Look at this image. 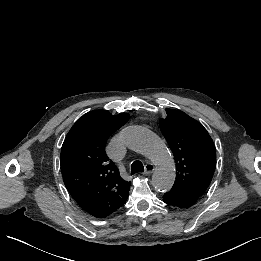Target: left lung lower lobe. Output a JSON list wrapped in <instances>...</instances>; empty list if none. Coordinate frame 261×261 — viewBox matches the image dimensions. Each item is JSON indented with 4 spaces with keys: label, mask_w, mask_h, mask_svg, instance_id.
<instances>
[{
    "label": "left lung lower lobe",
    "mask_w": 261,
    "mask_h": 261,
    "mask_svg": "<svg viewBox=\"0 0 261 261\" xmlns=\"http://www.w3.org/2000/svg\"><path fill=\"white\" fill-rule=\"evenodd\" d=\"M163 200L166 204L176 206L179 208H188L197 202V198L189 194H185L179 190L171 189L165 193Z\"/></svg>",
    "instance_id": "obj_1"
}]
</instances>
